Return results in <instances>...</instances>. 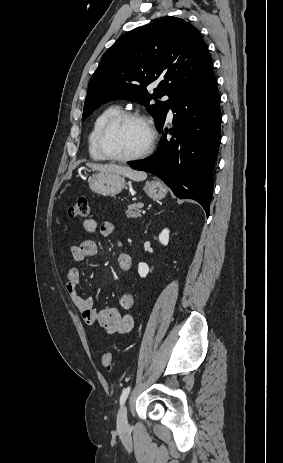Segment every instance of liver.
<instances>
[{
	"label": "liver",
	"instance_id": "obj_1",
	"mask_svg": "<svg viewBox=\"0 0 283 463\" xmlns=\"http://www.w3.org/2000/svg\"><path fill=\"white\" fill-rule=\"evenodd\" d=\"M87 166L100 173L122 175L134 181H143L147 178V173L143 171L133 170L127 166L99 163H88Z\"/></svg>",
	"mask_w": 283,
	"mask_h": 463
}]
</instances>
